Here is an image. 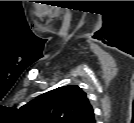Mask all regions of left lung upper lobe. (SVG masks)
Segmentation results:
<instances>
[{"instance_id":"5c2ea615","label":"left lung upper lobe","mask_w":134,"mask_h":123,"mask_svg":"<svg viewBox=\"0 0 134 123\" xmlns=\"http://www.w3.org/2000/svg\"><path fill=\"white\" fill-rule=\"evenodd\" d=\"M41 120L56 123H94L87 95L77 85L56 88L39 95L24 106Z\"/></svg>"}]
</instances>
